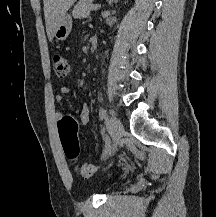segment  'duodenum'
I'll list each match as a JSON object with an SVG mask.
<instances>
[{
    "mask_svg": "<svg viewBox=\"0 0 216 217\" xmlns=\"http://www.w3.org/2000/svg\"><path fill=\"white\" fill-rule=\"evenodd\" d=\"M90 44H91V48L95 49L98 46V37L92 36L90 38Z\"/></svg>",
    "mask_w": 216,
    "mask_h": 217,
    "instance_id": "1",
    "label": "duodenum"
}]
</instances>
